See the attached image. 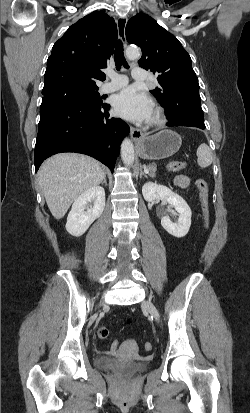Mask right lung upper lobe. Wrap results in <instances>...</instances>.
<instances>
[{
	"label": "right lung upper lobe",
	"mask_w": 250,
	"mask_h": 413,
	"mask_svg": "<svg viewBox=\"0 0 250 413\" xmlns=\"http://www.w3.org/2000/svg\"><path fill=\"white\" fill-rule=\"evenodd\" d=\"M117 40V25L104 12L94 11L70 26L54 44L47 60L42 94L68 87L96 88L104 80Z\"/></svg>",
	"instance_id": "right-lung-upper-lobe-1"
}]
</instances>
